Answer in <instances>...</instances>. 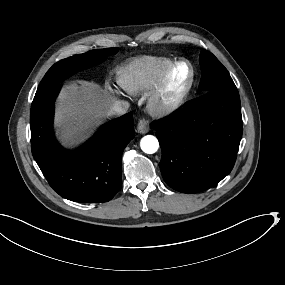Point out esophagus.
Here are the masks:
<instances>
[{"instance_id":"esophagus-1","label":"esophagus","mask_w":285,"mask_h":285,"mask_svg":"<svg viewBox=\"0 0 285 285\" xmlns=\"http://www.w3.org/2000/svg\"><path fill=\"white\" fill-rule=\"evenodd\" d=\"M137 130L140 134H145L150 130L149 121L146 118L139 120Z\"/></svg>"}]
</instances>
